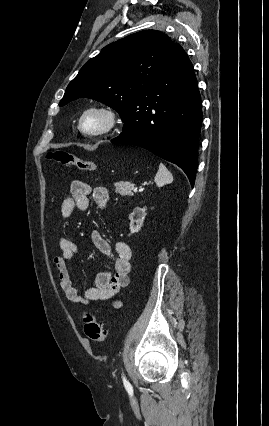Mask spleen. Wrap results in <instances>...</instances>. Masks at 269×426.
<instances>
[{"mask_svg": "<svg viewBox=\"0 0 269 426\" xmlns=\"http://www.w3.org/2000/svg\"><path fill=\"white\" fill-rule=\"evenodd\" d=\"M155 183L158 187H162L165 184H169L173 181L172 174L168 171V169L161 163L159 165L158 172L155 176Z\"/></svg>", "mask_w": 269, "mask_h": 426, "instance_id": "3e777b00", "label": "spleen"}]
</instances>
